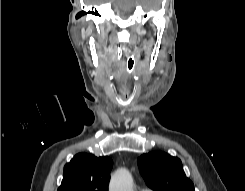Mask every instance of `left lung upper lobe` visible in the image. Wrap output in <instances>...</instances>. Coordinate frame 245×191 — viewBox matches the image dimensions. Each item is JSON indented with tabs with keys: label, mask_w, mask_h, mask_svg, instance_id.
Returning <instances> with one entry per match:
<instances>
[{
	"label": "left lung upper lobe",
	"mask_w": 245,
	"mask_h": 191,
	"mask_svg": "<svg viewBox=\"0 0 245 191\" xmlns=\"http://www.w3.org/2000/svg\"><path fill=\"white\" fill-rule=\"evenodd\" d=\"M139 170L147 185L156 191H195L181 160L161 151L141 155Z\"/></svg>",
	"instance_id": "1"
}]
</instances>
